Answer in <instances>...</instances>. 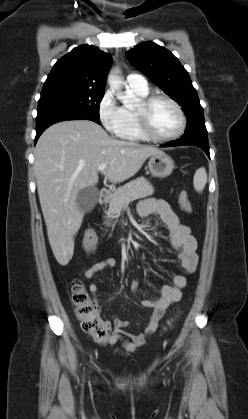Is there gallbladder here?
Listing matches in <instances>:
<instances>
[{
    "instance_id": "1",
    "label": "gallbladder",
    "mask_w": 248,
    "mask_h": 419,
    "mask_svg": "<svg viewBox=\"0 0 248 419\" xmlns=\"http://www.w3.org/2000/svg\"><path fill=\"white\" fill-rule=\"evenodd\" d=\"M99 200V191L94 187L81 189L78 193L76 203L85 213L90 212Z\"/></svg>"
}]
</instances>
